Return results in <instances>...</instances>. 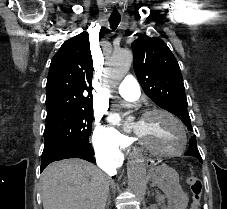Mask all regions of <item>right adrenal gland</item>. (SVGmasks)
<instances>
[{
  "label": "right adrenal gland",
  "instance_id": "right-adrenal-gland-1",
  "mask_svg": "<svg viewBox=\"0 0 227 209\" xmlns=\"http://www.w3.org/2000/svg\"><path fill=\"white\" fill-rule=\"evenodd\" d=\"M110 203H111V201H109V199H108V203H107L106 207H108V205H110Z\"/></svg>",
  "mask_w": 227,
  "mask_h": 209
}]
</instances>
